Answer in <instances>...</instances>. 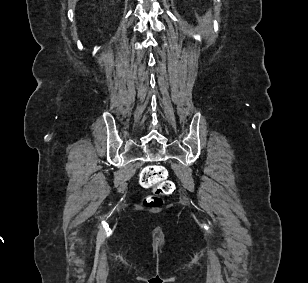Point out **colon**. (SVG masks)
<instances>
[{
  "label": "colon",
  "instance_id": "1",
  "mask_svg": "<svg viewBox=\"0 0 308 283\" xmlns=\"http://www.w3.org/2000/svg\"><path fill=\"white\" fill-rule=\"evenodd\" d=\"M139 184L143 188L152 189L154 197L147 200L148 206H158L161 198L173 193L174 183L168 178L167 170L160 165H147L141 169L138 175Z\"/></svg>",
  "mask_w": 308,
  "mask_h": 283
}]
</instances>
